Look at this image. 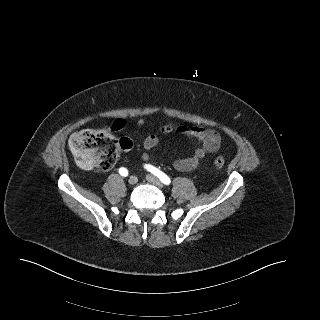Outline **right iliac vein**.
I'll return each mask as SVG.
<instances>
[{"label":"right iliac vein","instance_id":"right-iliac-vein-1","mask_svg":"<svg viewBox=\"0 0 320 320\" xmlns=\"http://www.w3.org/2000/svg\"><path fill=\"white\" fill-rule=\"evenodd\" d=\"M138 179L136 176H131L128 180V183L131 185H135L137 183Z\"/></svg>","mask_w":320,"mask_h":320}]
</instances>
